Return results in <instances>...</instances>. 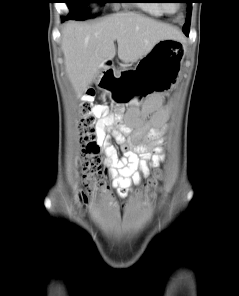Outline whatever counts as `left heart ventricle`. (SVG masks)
Listing matches in <instances>:
<instances>
[{"label":"left heart ventricle","mask_w":239,"mask_h":296,"mask_svg":"<svg viewBox=\"0 0 239 296\" xmlns=\"http://www.w3.org/2000/svg\"><path fill=\"white\" fill-rule=\"evenodd\" d=\"M169 5H170V7H171L172 9H174L175 6H176V4H174V3H171V4H169Z\"/></svg>","instance_id":"obj_1"}]
</instances>
